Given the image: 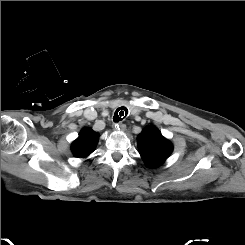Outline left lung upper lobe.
<instances>
[{
  "label": "left lung upper lobe",
  "instance_id": "1",
  "mask_svg": "<svg viewBox=\"0 0 245 245\" xmlns=\"http://www.w3.org/2000/svg\"><path fill=\"white\" fill-rule=\"evenodd\" d=\"M137 143L143 161L150 168L163 164L173 152V144L154 126L144 128Z\"/></svg>",
  "mask_w": 245,
  "mask_h": 245
}]
</instances>
